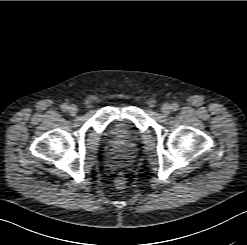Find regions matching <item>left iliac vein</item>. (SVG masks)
I'll return each instance as SVG.
<instances>
[{
  "label": "left iliac vein",
  "mask_w": 247,
  "mask_h": 245,
  "mask_svg": "<svg viewBox=\"0 0 247 245\" xmlns=\"http://www.w3.org/2000/svg\"><path fill=\"white\" fill-rule=\"evenodd\" d=\"M161 111L163 114L168 115L171 112V105L168 103H165L161 107Z\"/></svg>",
  "instance_id": "1"
}]
</instances>
